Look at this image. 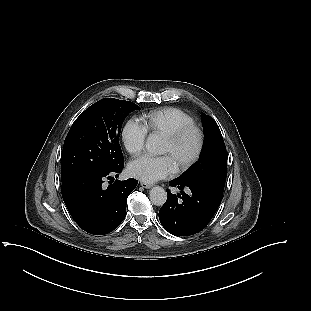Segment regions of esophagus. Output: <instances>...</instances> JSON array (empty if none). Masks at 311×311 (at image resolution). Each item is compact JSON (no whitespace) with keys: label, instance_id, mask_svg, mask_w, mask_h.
Here are the masks:
<instances>
[{"label":"esophagus","instance_id":"esophagus-1","mask_svg":"<svg viewBox=\"0 0 311 311\" xmlns=\"http://www.w3.org/2000/svg\"><path fill=\"white\" fill-rule=\"evenodd\" d=\"M140 185L145 189H150L152 187L151 184L146 183V182H141Z\"/></svg>","mask_w":311,"mask_h":311}]
</instances>
